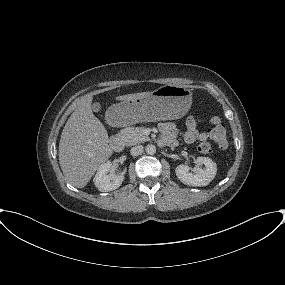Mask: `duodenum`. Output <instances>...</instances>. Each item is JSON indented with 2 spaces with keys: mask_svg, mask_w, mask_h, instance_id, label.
I'll return each instance as SVG.
<instances>
[{
  "mask_svg": "<svg viewBox=\"0 0 285 285\" xmlns=\"http://www.w3.org/2000/svg\"><path fill=\"white\" fill-rule=\"evenodd\" d=\"M114 145L117 147V148H121L123 146V139L120 138V137H115L114 138Z\"/></svg>",
  "mask_w": 285,
  "mask_h": 285,
  "instance_id": "obj_1",
  "label": "duodenum"
}]
</instances>
